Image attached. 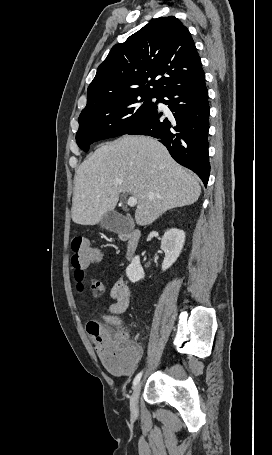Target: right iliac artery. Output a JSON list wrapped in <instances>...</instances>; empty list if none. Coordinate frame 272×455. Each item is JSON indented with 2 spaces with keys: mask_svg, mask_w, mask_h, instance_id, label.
Wrapping results in <instances>:
<instances>
[{
  "mask_svg": "<svg viewBox=\"0 0 272 455\" xmlns=\"http://www.w3.org/2000/svg\"><path fill=\"white\" fill-rule=\"evenodd\" d=\"M142 373H143V372L141 371L140 373H138V374L136 375V377L134 378V381H133V386H136V385L138 384V382H139L140 379H141Z\"/></svg>",
  "mask_w": 272,
  "mask_h": 455,
  "instance_id": "right-iliac-artery-1",
  "label": "right iliac artery"
}]
</instances>
